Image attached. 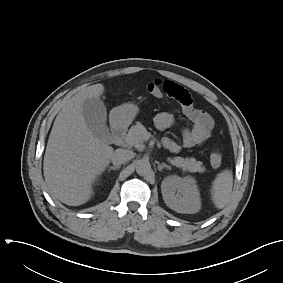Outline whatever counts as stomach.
<instances>
[{
    "label": "stomach",
    "instance_id": "stomach-1",
    "mask_svg": "<svg viewBox=\"0 0 283 283\" xmlns=\"http://www.w3.org/2000/svg\"><path fill=\"white\" fill-rule=\"evenodd\" d=\"M139 108L133 103L123 104L113 112L114 121L118 125H129L137 116Z\"/></svg>",
    "mask_w": 283,
    "mask_h": 283
}]
</instances>
